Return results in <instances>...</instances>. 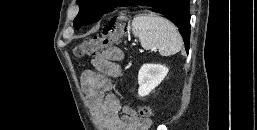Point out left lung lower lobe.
<instances>
[{"mask_svg": "<svg viewBox=\"0 0 257 130\" xmlns=\"http://www.w3.org/2000/svg\"><path fill=\"white\" fill-rule=\"evenodd\" d=\"M135 4L150 7L152 11L165 16L178 28L184 39L185 48L189 50L190 8L189 0H139Z\"/></svg>", "mask_w": 257, "mask_h": 130, "instance_id": "left-lung-lower-lobe-1", "label": "left lung lower lobe"}]
</instances>
